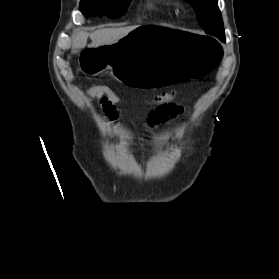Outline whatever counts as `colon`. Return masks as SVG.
<instances>
[{"instance_id": "obj_1", "label": "colon", "mask_w": 279, "mask_h": 279, "mask_svg": "<svg viewBox=\"0 0 279 279\" xmlns=\"http://www.w3.org/2000/svg\"><path fill=\"white\" fill-rule=\"evenodd\" d=\"M85 92L89 97L104 99L107 102H111L113 104H117L121 101V97L115 91L104 85L88 86L85 89ZM179 94L180 92L178 90L163 92L150 100L144 101L143 103L154 106L170 104L174 103V100L179 96Z\"/></svg>"}]
</instances>
